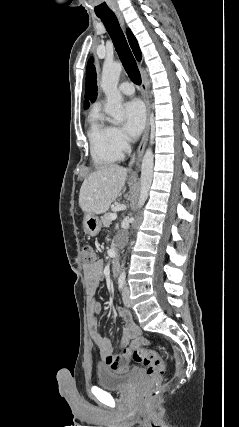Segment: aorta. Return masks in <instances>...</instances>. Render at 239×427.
<instances>
[{"label": "aorta", "instance_id": "762f6f07", "mask_svg": "<svg viewBox=\"0 0 239 427\" xmlns=\"http://www.w3.org/2000/svg\"><path fill=\"white\" fill-rule=\"evenodd\" d=\"M122 71V64L119 62L105 63L102 70L101 88L106 95L107 104L105 112L112 117L114 124H119L124 120V110L122 107V96L118 91L119 77ZM154 156L151 148L144 154L141 166V186L138 200V207L141 208L149 194L153 178ZM125 276V272H122Z\"/></svg>", "mask_w": 239, "mask_h": 427}]
</instances>
